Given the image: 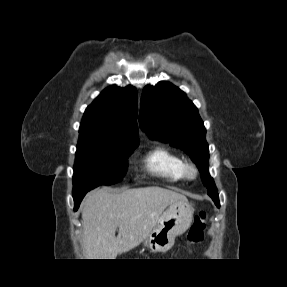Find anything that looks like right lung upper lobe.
<instances>
[{
	"mask_svg": "<svg viewBox=\"0 0 287 287\" xmlns=\"http://www.w3.org/2000/svg\"><path fill=\"white\" fill-rule=\"evenodd\" d=\"M136 118V88L112 85L86 108L79 132L102 140L138 142Z\"/></svg>",
	"mask_w": 287,
	"mask_h": 287,
	"instance_id": "right-lung-upper-lobe-1",
	"label": "right lung upper lobe"
}]
</instances>
